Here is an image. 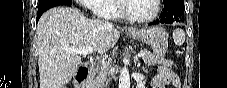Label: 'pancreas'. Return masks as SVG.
I'll list each match as a JSON object with an SVG mask.
<instances>
[{"mask_svg": "<svg viewBox=\"0 0 227 88\" xmlns=\"http://www.w3.org/2000/svg\"><path fill=\"white\" fill-rule=\"evenodd\" d=\"M144 52L147 54L143 56L142 59L144 63L148 66L155 65V64H164L170 67L173 66L172 62L166 59H163L158 55L151 54L146 50H144ZM108 70H109V63L107 62L103 63L101 67L96 68L89 80V85L92 88L99 87L103 83V81L106 80L108 75Z\"/></svg>", "mask_w": 227, "mask_h": 88, "instance_id": "pancreas-1", "label": "pancreas"}]
</instances>
